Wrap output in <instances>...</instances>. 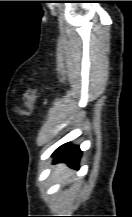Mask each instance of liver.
<instances>
[{"label":"liver","instance_id":"1","mask_svg":"<svg viewBox=\"0 0 132 217\" xmlns=\"http://www.w3.org/2000/svg\"><path fill=\"white\" fill-rule=\"evenodd\" d=\"M67 170V174H64V172ZM71 171L68 169V167L65 164H58L55 166L53 175L54 176H59L61 175V179L64 181L69 180L70 176H71Z\"/></svg>","mask_w":132,"mask_h":217}]
</instances>
